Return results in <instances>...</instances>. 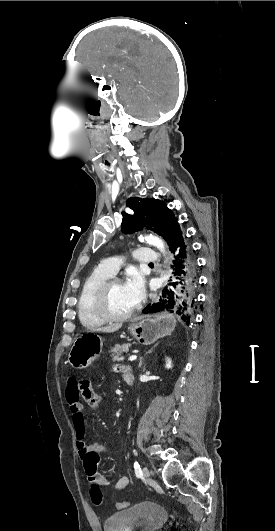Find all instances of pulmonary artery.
I'll list each match as a JSON object with an SVG mask.
<instances>
[{
    "mask_svg": "<svg viewBox=\"0 0 275 531\" xmlns=\"http://www.w3.org/2000/svg\"><path fill=\"white\" fill-rule=\"evenodd\" d=\"M134 258H137V263L139 265H150L158 257V252L156 250H137L132 253ZM122 260L121 258L119 259ZM118 262L117 256H112L111 261H99L98 270L99 272H107L111 275L117 276L120 274L121 269L119 264L115 265Z\"/></svg>",
    "mask_w": 275,
    "mask_h": 531,
    "instance_id": "obj_1",
    "label": "pulmonary artery"
}]
</instances>
